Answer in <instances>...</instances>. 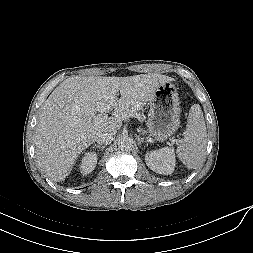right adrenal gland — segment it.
<instances>
[{
    "mask_svg": "<svg viewBox=\"0 0 253 253\" xmlns=\"http://www.w3.org/2000/svg\"><path fill=\"white\" fill-rule=\"evenodd\" d=\"M93 147H96V148H99V149L103 150L106 147V145L101 146V145L95 144V145H93Z\"/></svg>",
    "mask_w": 253,
    "mask_h": 253,
    "instance_id": "right-adrenal-gland-1",
    "label": "right adrenal gland"
}]
</instances>
